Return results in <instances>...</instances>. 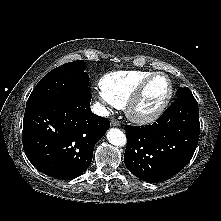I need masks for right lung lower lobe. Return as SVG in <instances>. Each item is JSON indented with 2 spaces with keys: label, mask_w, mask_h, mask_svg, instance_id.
Returning a JSON list of instances; mask_svg holds the SVG:
<instances>
[{
  "label": "right lung lower lobe",
  "mask_w": 221,
  "mask_h": 221,
  "mask_svg": "<svg viewBox=\"0 0 221 221\" xmlns=\"http://www.w3.org/2000/svg\"><path fill=\"white\" fill-rule=\"evenodd\" d=\"M91 93L72 100H50L26 106L23 147L41 172L60 180L86 170L99 139L109 129L106 118L92 113Z\"/></svg>",
  "instance_id": "98d812e1"
}]
</instances>
